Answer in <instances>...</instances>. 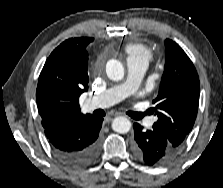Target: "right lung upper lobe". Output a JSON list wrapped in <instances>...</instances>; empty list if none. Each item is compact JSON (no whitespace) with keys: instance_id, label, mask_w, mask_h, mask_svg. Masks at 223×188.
Wrapping results in <instances>:
<instances>
[{"instance_id":"1","label":"right lung upper lobe","mask_w":223,"mask_h":188,"mask_svg":"<svg viewBox=\"0 0 223 188\" xmlns=\"http://www.w3.org/2000/svg\"><path fill=\"white\" fill-rule=\"evenodd\" d=\"M93 38L68 39L48 57L38 79L36 102L44 129L92 117L81 113L80 95L88 90L87 45Z\"/></svg>"}]
</instances>
